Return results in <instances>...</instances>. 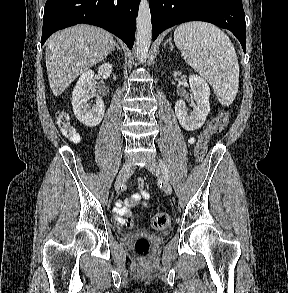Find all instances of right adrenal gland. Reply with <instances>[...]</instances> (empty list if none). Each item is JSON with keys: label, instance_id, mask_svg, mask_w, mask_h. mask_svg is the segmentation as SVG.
Instances as JSON below:
<instances>
[{"label": "right adrenal gland", "instance_id": "1", "mask_svg": "<svg viewBox=\"0 0 288 293\" xmlns=\"http://www.w3.org/2000/svg\"><path fill=\"white\" fill-rule=\"evenodd\" d=\"M114 45H115V47L118 49V50H120V47H119V45L115 42L114 43ZM115 47L113 48V50L115 49Z\"/></svg>", "mask_w": 288, "mask_h": 293}]
</instances>
